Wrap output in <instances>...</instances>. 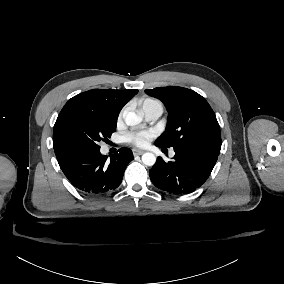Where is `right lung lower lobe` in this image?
Masks as SVG:
<instances>
[{"label": "right lung lower lobe", "instance_id": "1", "mask_svg": "<svg viewBox=\"0 0 284 284\" xmlns=\"http://www.w3.org/2000/svg\"><path fill=\"white\" fill-rule=\"evenodd\" d=\"M100 153V149L71 153L58 160L59 166L69 181L80 191L90 195L106 194L115 190L122 182L128 163L133 160L130 149L121 148L111 156Z\"/></svg>", "mask_w": 284, "mask_h": 284}]
</instances>
